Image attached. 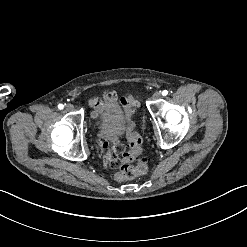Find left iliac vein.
Instances as JSON below:
<instances>
[{"instance_id": "obj_1", "label": "left iliac vein", "mask_w": 247, "mask_h": 247, "mask_svg": "<svg viewBox=\"0 0 247 247\" xmlns=\"http://www.w3.org/2000/svg\"><path fill=\"white\" fill-rule=\"evenodd\" d=\"M161 98V93L159 91H156L152 94V99L153 100H158Z\"/></svg>"}]
</instances>
